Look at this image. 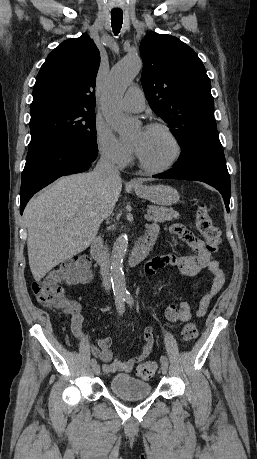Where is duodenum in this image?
<instances>
[{
	"mask_svg": "<svg viewBox=\"0 0 257 459\" xmlns=\"http://www.w3.org/2000/svg\"><path fill=\"white\" fill-rule=\"evenodd\" d=\"M158 232L154 230L147 231L146 234L138 241L129 256V264L136 265L140 263L149 253ZM103 238L97 236L92 244V254L95 258L100 259L102 256Z\"/></svg>",
	"mask_w": 257,
	"mask_h": 459,
	"instance_id": "1",
	"label": "duodenum"
}]
</instances>
